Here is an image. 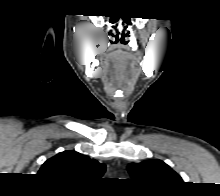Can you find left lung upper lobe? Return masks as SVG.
<instances>
[{
    "mask_svg": "<svg viewBox=\"0 0 220 196\" xmlns=\"http://www.w3.org/2000/svg\"><path fill=\"white\" fill-rule=\"evenodd\" d=\"M134 181L150 187L173 188L183 183L182 178L161 160H147L128 165Z\"/></svg>",
    "mask_w": 220,
    "mask_h": 196,
    "instance_id": "obj_1",
    "label": "left lung upper lobe"
}]
</instances>
